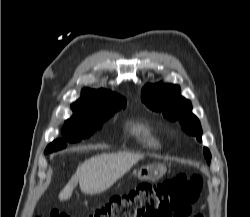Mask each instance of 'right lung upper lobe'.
<instances>
[{
	"mask_svg": "<svg viewBox=\"0 0 250 217\" xmlns=\"http://www.w3.org/2000/svg\"><path fill=\"white\" fill-rule=\"evenodd\" d=\"M125 105L126 100L111 91L84 88L81 98L71 105L74 114L66 122H85L98 115L117 111Z\"/></svg>",
	"mask_w": 250,
	"mask_h": 217,
	"instance_id": "right-lung-upper-lobe-1",
	"label": "right lung upper lobe"
}]
</instances>
